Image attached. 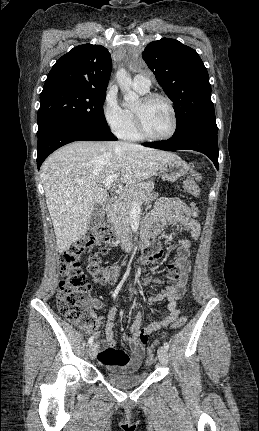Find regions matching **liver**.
<instances>
[{
  "label": "liver",
  "instance_id": "1",
  "mask_svg": "<svg viewBox=\"0 0 259 431\" xmlns=\"http://www.w3.org/2000/svg\"><path fill=\"white\" fill-rule=\"evenodd\" d=\"M177 157L113 141H77L55 151L42 164L40 174L58 251H66L86 233L94 206L107 198L101 188L107 177L119 173L118 181L130 186L157 174Z\"/></svg>",
  "mask_w": 259,
  "mask_h": 431
}]
</instances>
